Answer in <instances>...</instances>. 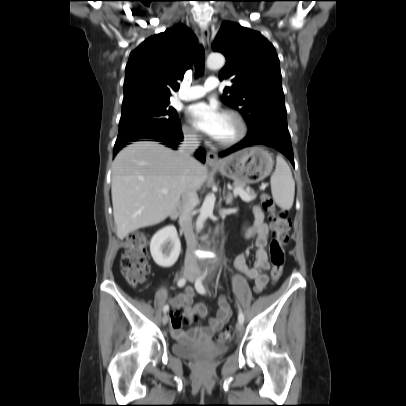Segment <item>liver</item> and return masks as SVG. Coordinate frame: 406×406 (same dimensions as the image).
<instances>
[{
    "label": "liver",
    "mask_w": 406,
    "mask_h": 406,
    "mask_svg": "<svg viewBox=\"0 0 406 406\" xmlns=\"http://www.w3.org/2000/svg\"><path fill=\"white\" fill-rule=\"evenodd\" d=\"M188 164L179 152L153 141H138L121 150L112 164L111 194L117 236L164 221L190 188ZM193 186L200 189L207 167L192 166ZM167 189V194L160 190Z\"/></svg>",
    "instance_id": "obj_1"
}]
</instances>
